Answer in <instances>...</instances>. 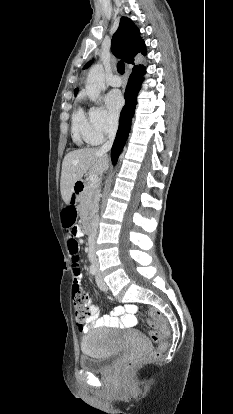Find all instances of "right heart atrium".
<instances>
[{
  "instance_id": "1",
  "label": "right heart atrium",
  "mask_w": 233,
  "mask_h": 414,
  "mask_svg": "<svg viewBox=\"0 0 233 414\" xmlns=\"http://www.w3.org/2000/svg\"><path fill=\"white\" fill-rule=\"evenodd\" d=\"M88 115L96 144L101 143L106 136L111 135L117 128V118L102 105H92Z\"/></svg>"
}]
</instances>
